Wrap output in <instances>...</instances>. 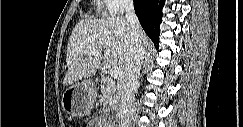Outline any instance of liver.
<instances>
[{
	"label": "liver",
	"mask_w": 243,
	"mask_h": 127,
	"mask_svg": "<svg viewBox=\"0 0 243 127\" xmlns=\"http://www.w3.org/2000/svg\"><path fill=\"white\" fill-rule=\"evenodd\" d=\"M131 27L123 16L85 18L72 30L66 51L67 72L63 84L68 86L83 78L93 76L103 61L104 67H118L123 74L129 48ZM144 46L150 45L148 37L141 31ZM104 51L101 57L86 55L85 51ZM84 55L87 57L84 58Z\"/></svg>",
	"instance_id": "6515ba94"
}]
</instances>
